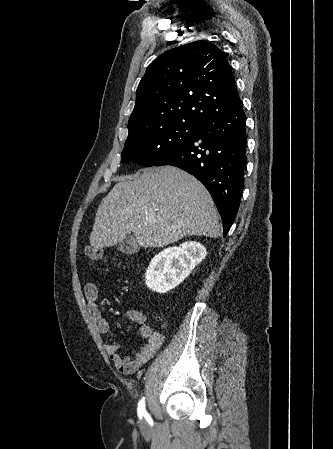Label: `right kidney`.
Instances as JSON below:
<instances>
[{
  "mask_svg": "<svg viewBox=\"0 0 333 449\" xmlns=\"http://www.w3.org/2000/svg\"><path fill=\"white\" fill-rule=\"evenodd\" d=\"M206 254V248L195 241L164 249L149 264L145 277L147 287L157 293H167L183 282Z\"/></svg>",
  "mask_w": 333,
  "mask_h": 449,
  "instance_id": "1",
  "label": "right kidney"
}]
</instances>
